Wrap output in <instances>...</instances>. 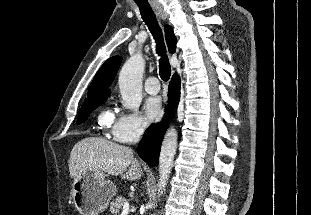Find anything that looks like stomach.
Returning a JSON list of instances; mask_svg holds the SVG:
<instances>
[{
    "label": "stomach",
    "mask_w": 311,
    "mask_h": 215,
    "mask_svg": "<svg viewBox=\"0 0 311 215\" xmlns=\"http://www.w3.org/2000/svg\"><path fill=\"white\" fill-rule=\"evenodd\" d=\"M73 202L82 215H98L116 195V185L101 171L80 170L73 182Z\"/></svg>",
    "instance_id": "stomach-1"
}]
</instances>
